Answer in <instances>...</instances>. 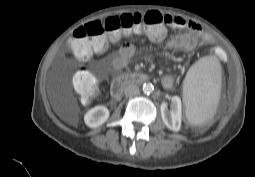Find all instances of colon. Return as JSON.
<instances>
[{
  "label": "colon",
  "instance_id": "colon-1",
  "mask_svg": "<svg viewBox=\"0 0 255 177\" xmlns=\"http://www.w3.org/2000/svg\"><path fill=\"white\" fill-rule=\"evenodd\" d=\"M166 25L165 16L157 11L113 16L78 28L70 39V49L75 56L84 60L95 52L105 50L110 43L132 34L159 39ZM100 83V78L86 68L79 69L73 78L74 89L85 103L94 101Z\"/></svg>",
  "mask_w": 255,
  "mask_h": 177
}]
</instances>
